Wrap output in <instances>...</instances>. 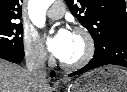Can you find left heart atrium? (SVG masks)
<instances>
[{
  "label": "left heart atrium",
  "mask_w": 127,
  "mask_h": 92,
  "mask_svg": "<svg viewBox=\"0 0 127 92\" xmlns=\"http://www.w3.org/2000/svg\"><path fill=\"white\" fill-rule=\"evenodd\" d=\"M72 35L69 30L62 28L54 36L49 37L47 44L51 53L62 60L69 50Z\"/></svg>",
  "instance_id": "1"
}]
</instances>
